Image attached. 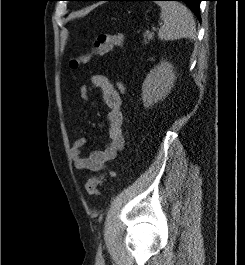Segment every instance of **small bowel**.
<instances>
[{"label":"small bowel","mask_w":245,"mask_h":265,"mask_svg":"<svg viewBox=\"0 0 245 265\" xmlns=\"http://www.w3.org/2000/svg\"><path fill=\"white\" fill-rule=\"evenodd\" d=\"M91 83L101 91L104 103L108 107V142L103 150L92 151L88 155L83 154L86 145L84 137L76 138L71 146L70 153L74 167L77 170L99 172L105 165L113 161L124 148L123 114L121 111L122 99L119 91L111 80L102 74L90 76ZM79 95L82 100H90V92L86 86H81Z\"/></svg>","instance_id":"1"}]
</instances>
